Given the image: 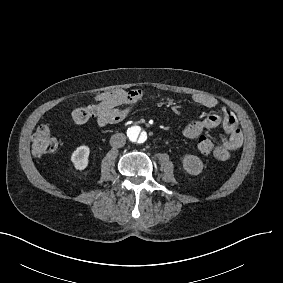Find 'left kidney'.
Instances as JSON below:
<instances>
[{"mask_svg":"<svg viewBox=\"0 0 283 283\" xmlns=\"http://www.w3.org/2000/svg\"><path fill=\"white\" fill-rule=\"evenodd\" d=\"M183 168L191 175H198L203 170V162L194 155H185L183 158Z\"/></svg>","mask_w":283,"mask_h":283,"instance_id":"obj_1","label":"left kidney"}]
</instances>
